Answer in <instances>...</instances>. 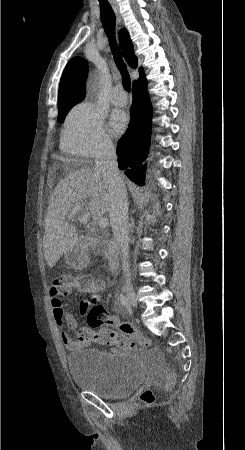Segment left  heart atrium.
<instances>
[{"instance_id":"39dd6f15","label":"left heart atrium","mask_w":245,"mask_h":450,"mask_svg":"<svg viewBox=\"0 0 245 450\" xmlns=\"http://www.w3.org/2000/svg\"><path fill=\"white\" fill-rule=\"evenodd\" d=\"M129 118L123 111H115L111 116L110 127L111 131L115 134H121L127 127Z\"/></svg>"}]
</instances>
